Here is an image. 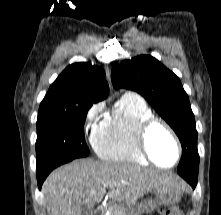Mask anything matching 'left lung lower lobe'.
Listing matches in <instances>:
<instances>
[{
    "label": "left lung lower lobe",
    "instance_id": "obj_1",
    "mask_svg": "<svg viewBox=\"0 0 221 215\" xmlns=\"http://www.w3.org/2000/svg\"><path fill=\"white\" fill-rule=\"evenodd\" d=\"M181 177H183L193 189H195L197 184L198 174H187V173H178Z\"/></svg>",
    "mask_w": 221,
    "mask_h": 215
}]
</instances>
